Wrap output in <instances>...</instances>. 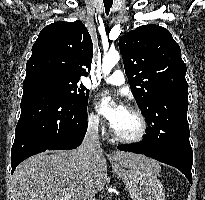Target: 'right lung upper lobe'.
I'll use <instances>...</instances> for the list:
<instances>
[{
    "mask_svg": "<svg viewBox=\"0 0 205 200\" xmlns=\"http://www.w3.org/2000/svg\"><path fill=\"white\" fill-rule=\"evenodd\" d=\"M92 56V39L80 20L55 22L46 26L33 44L24 81L42 74L80 80L90 72Z\"/></svg>",
    "mask_w": 205,
    "mask_h": 200,
    "instance_id": "right-lung-upper-lobe-1",
    "label": "right lung upper lobe"
}]
</instances>
